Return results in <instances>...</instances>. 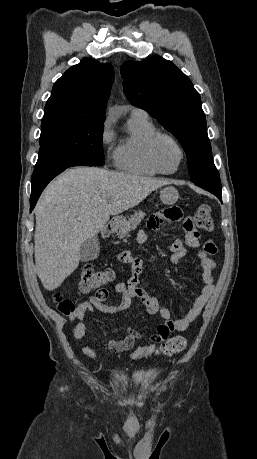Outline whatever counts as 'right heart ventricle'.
Masks as SVG:
<instances>
[{
    "label": "right heart ventricle",
    "instance_id": "e07e8e85",
    "mask_svg": "<svg viewBox=\"0 0 257 459\" xmlns=\"http://www.w3.org/2000/svg\"><path fill=\"white\" fill-rule=\"evenodd\" d=\"M156 132L157 128L146 114L132 113L127 122V134L114 150L116 167L136 175H158L160 172L152 166L146 151L150 137Z\"/></svg>",
    "mask_w": 257,
    "mask_h": 459
}]
</instances>
